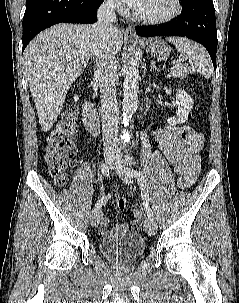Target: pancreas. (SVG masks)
Instances as JSON below:
<instances>
[{"label": "pancreas", "instance_id": "cf45deb5", "mask_svg": "<svg viewBox=\"0 0 239 303\" xmlns=\"http://www.w3.org/2000/svg\"><path fill=\"white\" fill-rule=\"evenodd\" d=\"M191 72V69L184 64H180L176 68L172 69L170 75L176 78L185 79L188 73Z\"/></svg>", "mask_w": 239, "mask_h": 303}]
</instances>
